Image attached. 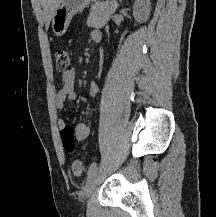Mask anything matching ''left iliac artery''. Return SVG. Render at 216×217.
Returning a JSON list of instances; mask_svg holds the SVG:
<instances>
[{
    "label": "left iliac artery",
    "instance_id": "left-iliac-artery-1",
    "mask_svg": "<svg viewBox=\"0 0 216 217\" xmlns=\"http://www.w3.org/2000/svg\"><path fill=\"white\" fill-rule=\"evenodd\" d=\"M97 167V163L96 162H93L91 163V165L89 166V169H88V174L90 175Z\"/></svg>",
    "mask_w": 216,
    "mask_h": 217
}]
</instances>
